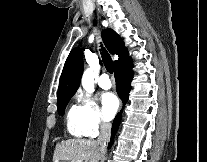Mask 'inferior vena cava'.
<instances>
[{"mask_svg": "<svg viewBox=\"0 0 207 162\" xmlns=\"http://www.w3.org/2000/svg\"><path fill=\"white\" fill-rule=\"evenodd\" d=\"M111 137V124L105 121L100 123V135L96 140V144L99 147L102 154H105L106 147Z\"/></svg>", "mask_w": 207, "mask_h": 162, "instance_id": "602c4592", "label": "inferior vena cava"}]
</instances>
